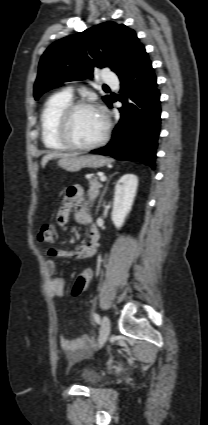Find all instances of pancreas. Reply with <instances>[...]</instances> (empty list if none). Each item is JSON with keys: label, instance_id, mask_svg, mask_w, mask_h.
Instances as JSON below:
<instances>
[{"label": "pancreas", "instance_id": "1", "mask_svg": "<svg viewBox=\"0 0 208 425\" xmlns=\"http://www.w3.org/2000/svg\"><path fill=\"white\" fill-rule=\"evenodd\" d=\"M89 192L88 197L90 201H94L100 193V188L102 184L97 180V178H93L89 181Z\"/></svg>", "mask_w": 208, "mask_h": 425}]
</instances>
